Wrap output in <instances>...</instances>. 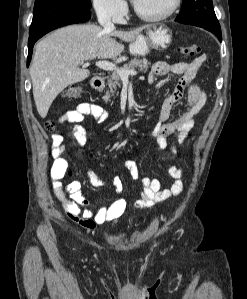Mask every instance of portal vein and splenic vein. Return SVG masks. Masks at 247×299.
<instances>
[{
    "label": "portal vein and splenic vein",
    "mask_w": 247,
    "mask_h": 299,
    "mask_svg": "<svg viewBox=\"0 0 247 299\" xmlns=\"http://www.w3.org/2000/svg\"><path fill=\"white\" fill-rule=\"evenodd\" d=\"M88 66H89V63L87 62L83 65V68L88 67ZM96 66L105 71H115L116 73L119 74V76L122 80H127L129 75L137 74V72L135 70H122V69H119L113 63L105 61V60L96 62Z\"/></svg>",
    "instance_id": "18ae733b"
}]
</instances>
